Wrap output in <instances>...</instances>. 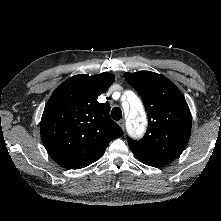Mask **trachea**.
Wrapping results in <instances>:
<instances>
[{"label":"trachea","instance_id":"3493384b","mask_svg":"<svg viewBox=\"0 0 221 221\" xmlns=\"http://www.w3.org/2000/svg\"><path fill=\"white\" fill-rule=\"evenodd\" d=\"M111 117L118 121L122 118V111L119 107H114L111 111Z\"/></svg>","mask_w":221,"mask_h":221}]
</instances>
